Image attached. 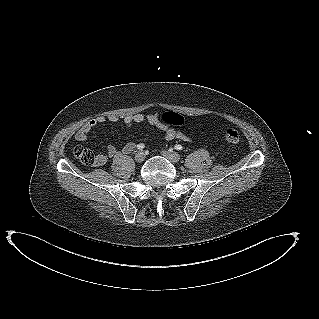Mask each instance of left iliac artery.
<instances>
[{
    "label": "left iliac artery",
    "instance_id": "1",
    "mask_svg": "<svg viewBox=\"0 0 319 319\" xmlns=\"http://www.w3.org/2000/svg\"><path fill=\"white\" fill-rule=\"evenodd\" d=\"M175 149H176V150H182V149H183V147H182L181 145H179V144H178V145H175Z\"/></svg>",
    "mask_w": 319,
    "mask_h": 319
}]
</instances>
